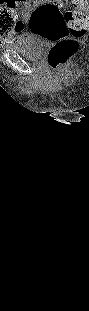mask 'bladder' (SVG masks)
<instances>
[{"instance_id": "31cf9c89", "label": "bladder", "mask_w": 89, "mask_h": 311, "mask_svg": "<svg viewBox=\"0 0 89 311\" xmlns=\"http://www.w3.org/2000/svg\"><path fill=\"white\" fill-rule=\"evenodd\" d=\"M9 48L28 59H38L43 55L44 51L43 44L32 37H24L17 42L11 43Z\"/></svg>"}]
</instances>
